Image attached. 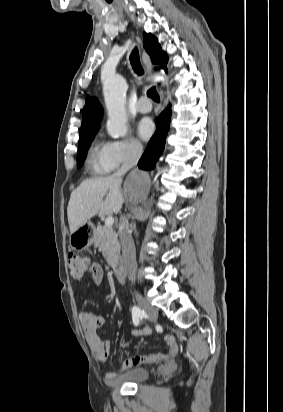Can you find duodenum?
<instances>
[{"mask_svg":"<svg viewBox=\"0 0 283 412\" xmlns=\"http://www.w3.org/2000/svg\"><path fill=\"white\" fill-rule=\"evenodd\" d=\"M112 268L114 275L119 283H124L126 279L125 267L122 260L117 259L113 262Z\"/></svg>","mask_w":283,"mask_h":412,"instance_id":"1","label":"duodenum"}]
</instances>
